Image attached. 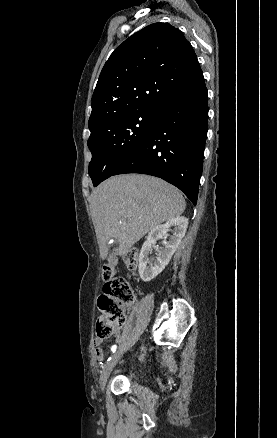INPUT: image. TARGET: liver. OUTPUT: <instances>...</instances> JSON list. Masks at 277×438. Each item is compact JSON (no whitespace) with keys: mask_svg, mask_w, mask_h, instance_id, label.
<instances>
[{"mask_svg":"<svg viewBox=\"0 0 277 438\" xmlns=\"http://www.w3.org/2000/svg\"><path fill=\"white\" fill-rule=\"evenodd\" d=\"M185 206L181 192L160 178L121 174L105 180L91 194L102 260L108 256L110 238L117 240L119 256H125L155 226L181 216Z\"/></svg>","mask_w":277,"mask_h":438,"instance_id":"1","label":"liver"}]
</instances>
